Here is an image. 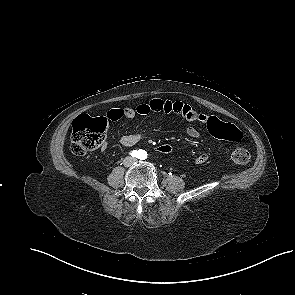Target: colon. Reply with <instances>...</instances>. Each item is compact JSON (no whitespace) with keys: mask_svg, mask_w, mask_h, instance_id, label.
<instances>
[{"mask_svg":"<svg viewBox=\"0 0 295 295\" xmlns=\"http://www.w3.org/2000/svg\"><path fill=\"white\" fill-rule=\"evenodd\" d=\"M209 128L210 132L218 138L234 143H239L242 140L241 131L232 124L212 120ZM106 129L107 120L104 117L78 116L73 121L72 152L77 156H84L98 148L104 140ZM157 150L167 154L171 151V146L161 145ZM231 158L235 164L244 166L249 162L250 154L247 149L238 146L233 150Z\"/></svg>","mask_w":295,"mask_h":295,"instance_id":"1","label":"colon"}]
</instances>
